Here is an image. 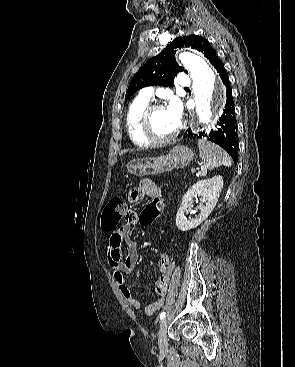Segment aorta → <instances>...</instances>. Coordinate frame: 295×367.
Listing matches in <instances>:
<instances>
[{
	"label": "aorta",
	"mask_w": 295,
	"mask_h": 367,
	"mask_svg": "<svg viewBox=\"0 0 295 367\" xmlns=\"http://www.w3.org/2000/svg\"><path fill=\"white\" fill-rule=\"evenodd\" d=\"M181 64L190 72L199 123H208L214 113L220 111L225 101L224 86L209 64L191 53L179 56Z\"/></svg>",
	"instance_id": "obj_1"
}]
</instances>
